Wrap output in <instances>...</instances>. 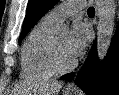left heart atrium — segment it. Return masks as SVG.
<instances>
[{
  "instance_id": "1",
  "label": "left heart atrium",
  "mask_w": 119,
  "mask_h": 95,
  "mask_svg": "<svg viewBox=\"0 0 119 95\" xmlns=\"http://www.w3.org/2000/svg\"><path fill=\"white\" fill-rule=\"evenodd\" d=\"M88 39V27L80 21H75L71 27L66 42L67 52L74 60L83 53Z\"/></svg>"
}]
</instances>
